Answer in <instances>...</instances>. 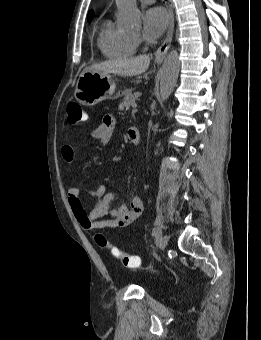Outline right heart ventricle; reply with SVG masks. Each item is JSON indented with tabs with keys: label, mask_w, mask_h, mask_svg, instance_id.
Here are the masks:
<instances>
[{
	"label": "right heart ventricle",
	"mask_w": 261,
	"mask_h": 340,
	"mask_svg": "<svg viewBox=\"0 0 261 340\" xmlns=\"http://www.w3.org/2000/svg\"><path fill=\"white\" fill-rule=\"evenodd\" d=\"M97 44L107 58L130 57L138 47V41L132 34L116 28L109 19L100 28Z\"/></svg>",
	"instance_id": "right-heart-ventricle-1"
}]
</instances>
